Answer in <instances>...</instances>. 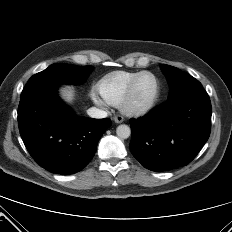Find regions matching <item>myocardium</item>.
I'll list each match as a JSON object with an SVG mask.
<instances>
[{
    "label": "myocardium",
    "instance_id": "f54148a6",
    "mask_svg": "<svg viewBox=\"0 0 232 232\" xmlns=\"http://www.w3.org/2000/svg\"><path fill=\"white\" fill-rule=\"evenodd\" d=\"M151 76L155 82V92L152 98L145 104L135 106L132 103L133 94L136 88V85L142 76ZM160 95V82L157 76L149 71H141L130 83L128 89L126 90L120 104V111L127 116H141L149 112L154 105L156 104Z\"/></svg>",
    "mask_w": 232,
    "mask_h": 232
}]
</instances>
